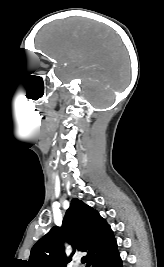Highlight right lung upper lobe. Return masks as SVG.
Wrapping results in <instances>:
<instances>
[{"instance_id":"1","label":"right lung upper lobe","mask_w":164,"mask_h":267,"mask_svg":"<svg viewBox=\"0 0 164 267\" xmlns=\"http://www.w3.org/2000/svg\"><path fill=\"white\" fill-rule=\"evenodd\" d=\"M67 240L73 253L66 257L63 242ZM116 240L110 226L96 210L73 198L62 227L54 226L32 248L29 267H65L75 251L87 252V267L97 257L115 249Z\"/></svg>"}]
</instances>
